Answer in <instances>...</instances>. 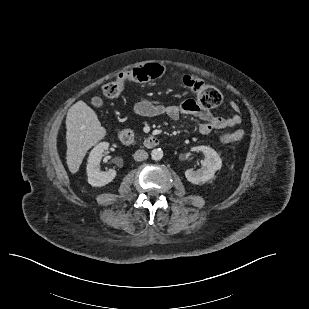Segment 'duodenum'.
<instances>
[{"instance_id":"duodenum-1","label":"duodenum","mask_w":309,"mask_h":309,"mask_svg":"<svg viewBox=\"0 0 309 309\" xmlns=\"http://www.w3.org/2000/svg\"><path fill=\"white\" fill-rule=\"evenodd\" d=\"M118 138L124 145H130L134 142V133L128 128L121 129L118 132ZM144 145L147 148H154L159 145V139L156 136H147L144 139Z\"/></svg>"}]
</instances>
